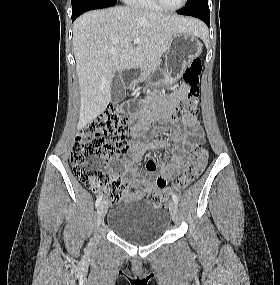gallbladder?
I'll return each instance as SVG.
<instances>
[{
  "label": "gallbladder",
  "instance_id": "gallbladder-1",
  "mask_svg": "<svg viewBox=\"0 0 280 285\" xmlns=\"http://www.w3.org/2000/svg\"><path fill=\"white\" fill-rule=\"evenodd\" d=\"M125 87L122 82L120 75L115 74L112 83H111V101L112 103H118L125 99Z\"/></svg>",
  "mask_w": 280,
  "mask_h": 285
}]
</instances>
